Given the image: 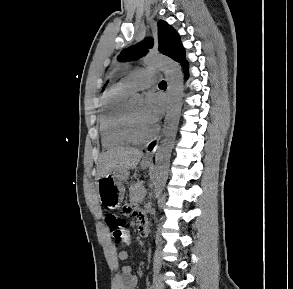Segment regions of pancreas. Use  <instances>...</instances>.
Listing matches in <instances>:
<instances>
[{"instance_id":"cf45deb5","label":"pancreas","mask_w":293,"mask_h":289,"mask_svg":"<svg viewBox=\"0 0 293 289\" xmlns=\"http://www.w3.org/2000/svg\"><path fill=\"white\" fill-rule=\"evenodd\" d=\"M142 185H143V182H137L130 187L129 196L132 201L141 200L144 197L145 191Z\"/></svg>"}]
</instances>
